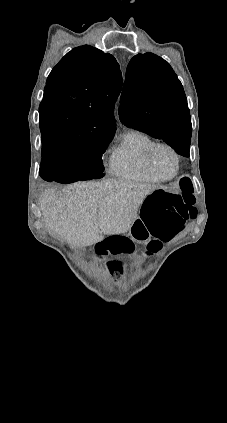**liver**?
Returning a JSON list of instances; mask_svg holds the SVG:
<instances>
[{
	"instance_id": "obj_1",
	"label": "liver",
	"mask_w": 227,
	"mask_h": 423,
	"mask_svg": "<svg viewBox=\"0 0 227 423\" xmlns=\"http://www.w3.org/2000/svg\"><path fill=\"white\" fill-rule=\"evenodd\" d=\"M158 188L148 182L107 180L77 182L62 194L49 190L40 200L43 221L72 247L93 245L104 235L128 231L143 200Z\"/></svg>"
}]
</instances>
